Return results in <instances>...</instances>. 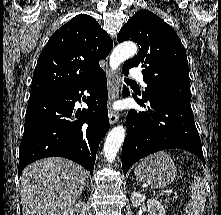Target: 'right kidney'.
<instances>
[{"label": "right kidney", "mask_w": 221, "mask_h": 215, "mask_svg": "<svg viewBox=\"0 0 221 215\" xmlns=\"http://www.w3.org/2000/svg\"><path fill=\"white\" fill-rule=\"evenodd\" d=\"M86 212V203L79 202L69 209L62 212L60 215H85Z\"/></svg>", "instance_id": "obj_1"}]
</instances>
